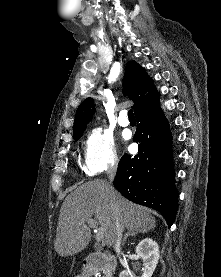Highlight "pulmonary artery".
<instances>
[{"label": "pulmonary artery", "instance_id": "obj_1", "mask_svg": "<svg viewBox=\"0 0 221 277\" xmlns=\"http://www.w3.org/2000/svg\"><path fill=\"white\" fill-rule=\"evenodd\" d=\"M118 123L120 126L127 127L129 126V120L126 116V111H121L118 116Z\"/></svg>", "mask_w": 221, "mask_h": 277}]
</instances>
